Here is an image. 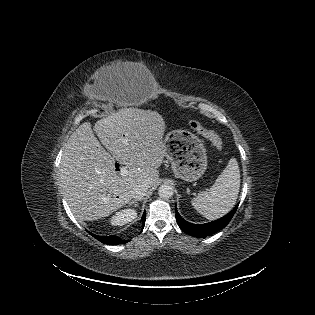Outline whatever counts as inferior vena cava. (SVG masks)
<instances>
[{"label": "inferior vena cava", "instance_id": "1", "mask_svg": "<svg viewBox=\"0 0 315 315\" xmlns=\"http://www.w3.org/2000/svg\"><path fill=\"white\" fill-rule=\"evenodd\" d=\"M150 188V185L146 182H142L136 185L132 190V197L135 199H141L145 196L147 190Z\"/></svg>", "mask_w": 315, "mask_h": 315}]
</instances>
